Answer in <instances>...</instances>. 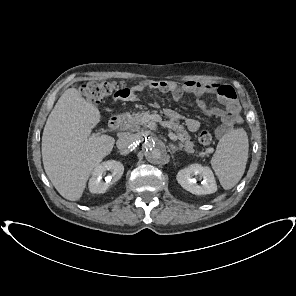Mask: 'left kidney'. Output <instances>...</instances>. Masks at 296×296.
<instances>
[{
	"mask_svg": "<svg viewBox=\"0 0 296 296\" xmlns=\"http://www.w3.org/2000/svg\"><path fill=\"white\" fill-rule=\"evenodd\" d=\"M193 176L202 177V184H197ZM176 179L185 190L195 195L212 194L217 191V185L212 171L209 167H204L200 164H191L181 169L177 173Z\"/></svg>",
	"mask_w": 296,
	"mask_h": 296,
	"instance_id": "5707ae66",
	"label": "left kidney"
}]
</instances>
